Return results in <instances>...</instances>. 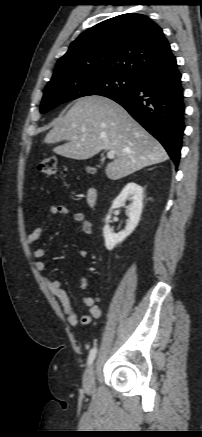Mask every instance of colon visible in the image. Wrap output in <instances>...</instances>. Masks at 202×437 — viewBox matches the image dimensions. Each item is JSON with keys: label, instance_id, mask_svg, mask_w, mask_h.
<instances>
[{"label": "colon", "instance_id": "obj_1", "mask_svg": "<svg viewBox=\"0 0 202 437\" xmlns=\"http://www.w3.org/2000/svg\"><path fill=\"white\" fill-rule=\"evenodd\" d=\"M38 170L45 175H53L57 170V159L54 156L43 158L38 164Z\"/></svg>", "mask_w": 202, "mask_h": 437}]
</instances>
